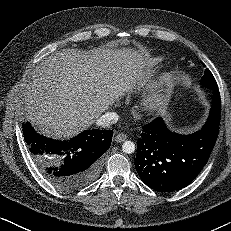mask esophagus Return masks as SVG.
Wrapping results in <instances>:
<instances>
[{"label":"esophagus","mask_w":231,"mask_h":231,"mask_svg":"<svg viewBox=\"0 0 231 231\" xmlns=\"http://www.w3.org/2000/svg\"><path fill=\"white\" fill-rule=\"evenodd\" d=\"M127 136L123 133H118L116 136H115V141L117 143H122L126 140Z\"/></svg>","instance_id":"1"}]
</instances>
